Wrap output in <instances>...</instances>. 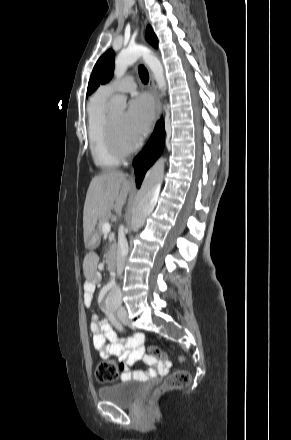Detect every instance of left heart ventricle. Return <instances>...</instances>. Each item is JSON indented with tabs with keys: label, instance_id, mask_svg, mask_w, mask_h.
<instances>
[{
	"label": "left heart ventricle",
	"instance_id": "b2bd125f",
	"mask_svg": "<svg viewBox=\"0 0 291 440\" xmlns=\"http://www.w3.org/2000/svg\"><path fill=\"white\" fill-rule=\"evenodd\" d=\"M124 116L125 114L120 113H114L110 115L113 127L115 129L116 136L118 140L123 144H131L133 141H131L126 134L125 131V125H124Z\"/></svg>",
	"mask_w": 291,
	"mask_h": 440
}]
</instances>
